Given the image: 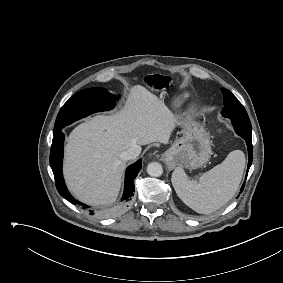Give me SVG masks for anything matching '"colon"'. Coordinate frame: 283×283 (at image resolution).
Instances as JSON below:
<instances>
[{
	"instance_id": "1",
	"label": "colon",
	"mask_w": 283,
	"mask_h": 283,
	"mask_svg": "<svg viewBox=\"0 0 283 283\" xmlns=\"http://www.w3.org/2000/svg\"><path fill=\"white\" fill-rule=\"evenodd\" d=\"M147 84L156 90H163L168 87L169 81L162 76H152L146 80Z\"/></svg>"
}]
</instances>
